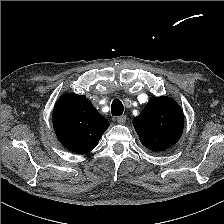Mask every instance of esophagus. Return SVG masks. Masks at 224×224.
<instances>
[{"label": "esophagus", "mask_w": 224, "mask_h": 224, "mask_svg": "<svg viewBox=\"0 0 224 224\" xmlns=\"http://www.w3.org/2000/svg\"><path fill=\"white\" fill-rule=\"evenodd\" d=\"M126 119H127L126 115H121L117 118V122L119 124H124L126 122Z\"/></svg>", "instance_id": "1"}]
</instances>
